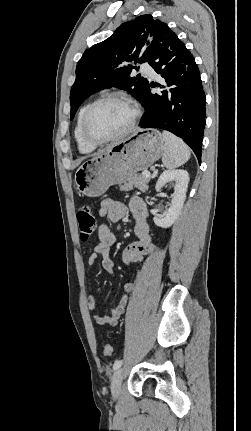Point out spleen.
I'll use <instances>...</instances> for the list:
<instances>
[{
  "mask_svg": "<svg viewBox=\"0 0 251 431\" xmlns=\"http://www.w3.org/2000/svg\"><path fill=\"white\" fill-rule=\"evenodd\" d=\"M162 139L164 142L162 162L166 168H177L190 158V150L180 138L168 131H163Z\"/></svg>",
  "mask_w": 251,
  "mask_h": 431,
  "instance_id": "spleen-1",
  "label": "spleen"
}]
</instances>
